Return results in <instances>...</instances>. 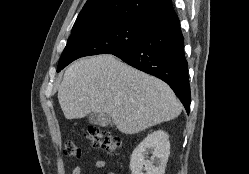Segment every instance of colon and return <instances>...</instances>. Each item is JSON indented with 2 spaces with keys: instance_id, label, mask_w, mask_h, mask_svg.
<instances>
[{
  "instance_id": "obj_1",
  "label": "colon",
  "mask_w": 249,
  "mask_h": 174,
  "mask_svg": "<svg viewBox=\"0 0 249 174\" xmlns=\"http://www.w3.org/2000/svg\"><path fill=\"white\" fill-rule=\"evenodd\" d=\"M84 136L93 148L104 149L109 154H115L122 146L119 136L96 126L87 128ZM64 153L67 156L79 157L81 150L73 139H67L64 144Z\"/></svg>"
}]
</instances>
